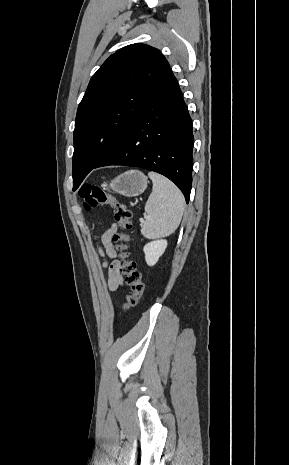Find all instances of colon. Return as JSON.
Listing matches in <instances>:
<instances>
[{
  "label": "colon",
  "instance_id": "1",
  "mask_svg": "<svg viewBox=\"0 0 289 465\" xmlns=\"http://www.w3.org/2000/svg\"><path fill=\"white\" fill-rule=\"evenodd\" d=\"M77 194L83 200V206L87 211L104 204L113 208L114 218L119 230L113 234L112 241L121 262L120 272L131 289L123 304V312H127L138 304L144 292L141 273L138 270L137 263L130 258L128 246V231L132 228V212L124 203L98 185L85 184L78 190Z\"/></svg>",
  "mask_w": 289,
  "mask_h": 465
}]
</instances>
